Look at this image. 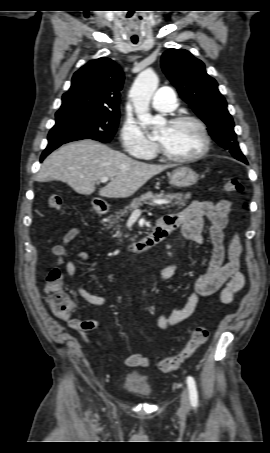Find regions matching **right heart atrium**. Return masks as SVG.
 Here are the masks:
<instances>
[{"label":"right heart atrium","mask_w":270,"mask_h":453,"mask_svg":"<svg viewBox=\"0 0 270 453\" xmlns=\"http://www.w3.org/2000/svg\"><path fill=\"white\" fill-rule=\"evenodd\" d=\"M120 140L124 151L136 158H147L156 151V144L148 139L140 126L132 120H126L120 130Z\"/></svg>","instance_id":"obj_1"}]
</instances>
